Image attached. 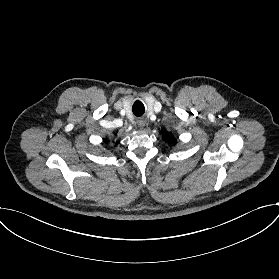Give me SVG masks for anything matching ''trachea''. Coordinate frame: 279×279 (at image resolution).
I'll use <instances>...</instances> for the list:
<instances>
[{
  "label": "trachea",
  "mask_w": 279,
  "mask_h": 279,
  "mask_svg": "<svg viewBox=\"0 0 279 279\" xmlns=\"http://www.w3.org/2000/svg\"><path fill=\"white\" fill-rule=\"evenodd\" d=\"M136 105H137V103L136 104H134V106H133V112L135 113L136 112ZM136 114V113H135ZM137 116H139L138 114H136Z\"/></svg>",
  "instance_id": "3493384b"
}]
</instances>
